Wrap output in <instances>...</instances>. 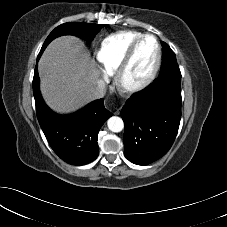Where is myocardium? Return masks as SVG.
<instances>
[{
  "label": "myocardium",
  "mask_w": 227,
  "mask_h": 227,
  "mask_svg": "<svg viewBox=\"0 0 227 227\" xmlns=\"http://www.w3.org/2000/svg\"><path fill=\"white\" fill-rule=\"evenodd\" d=\"M147 38H152L156 45V59L150 72L140 80L129 81L128 73L133 62L134 56L140 44ZM161 46L156 36L152 34H143L138 37L129 47L122 62L116 70L115 82L117 88L125 94H133L148 86L156 77L161 64Z\"/></svg>",
  "instance_id": "1"
}]
</instances>
